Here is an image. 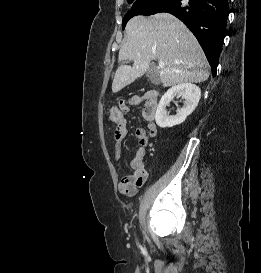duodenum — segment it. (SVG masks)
Segmentation results:
<instances>
[{"label":"duodenum","instance_id":"obj_1","mask_svg":"<svg viewBox=\"0 0 261 273\" xmlns=\"http://www.w3.org/2000/svg\"><path fill=\"white\" fill-rule=\"evenodd\" d=\"M150 93H151L152 99H156L157 98V93L155 91H152Z\"/></svg>","mask_w":261,"mask_h":273}]
</instances>
